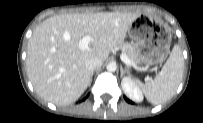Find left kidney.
I'll return each instance as SVG.
<instances>
[{"label": "left kidney", "instance_id": "1", "mask_svg": "<svg viewBox=\"0 0 203 123\" xmlns=\"http://www.w3.org/2000/svg\"><path fill=\"white\" fill-rule=\"evenodd\" d=\"M122 89L127 97L135 102L143 101V94L138 84L131 77H124L121 81Z\"/></svg>", "mask_w": 203, "mask_h": 123}]
</instances>
